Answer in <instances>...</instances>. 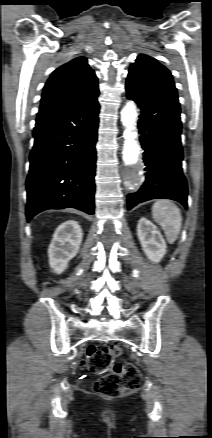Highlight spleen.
<instances>
[{
	"mask_svg": "<svg viewBox=\"0 0 212 438\" xmlns=\"http://www.w3.org/2000/svg\"><path fill=\"white\" fill-rule=\"evenodd\" d=\"M153 219L162 227L168 243L173 244L180 233L182 215L170 200H157L152 206Z\"/></svg>",
	"mask_w": 212,
	"mask_h": 438,
	"instance_id": "spleen-1",
	"label": "spleen"
}]
</instances>
